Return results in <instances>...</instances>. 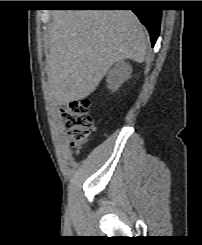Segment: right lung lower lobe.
<instances>
[{"mask_svg": "<svg viewBox=\"0 0 202 245\" xmlns=\"http://www.w3.org/2000/svg\"><path fill=\"white\" fill-rule=\"evenodd\" d=\"M144 4H145L144 1H134L131 4L134 6L132 11L138 16L142 24H144L148 29L152 41V47H153L159 36L160 23H161V10L145 8L143 7ZM83 5L95 6V7L96 6L97 7L124 6L121 3H84Z\"/></svg>", "mask_w": 202, "mask_h": 245, "instance_id": "1", "label": "right lung lower lobe"}]
</instances>
